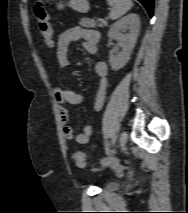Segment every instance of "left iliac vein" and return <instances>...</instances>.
Segmentation results:
<instances>
[{"instance_id":"1","label":"left iliac vein","mask_w":188,"mask_h":213,"mask_svg":"<svg viewBox=\"0 0 188 213\" xmlns=\"http://www.w3.org/2000/svg\"><path fill=\"white\" fill-rule=\"evenodd\" d=\"M128 135L126 132H122L119 136V147L122 149L127 143Z\"/></svg>"}]
</instances>
